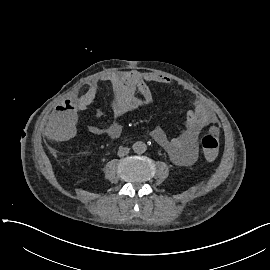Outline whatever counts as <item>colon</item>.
<instances>
[{
    "label": "colon",
    "instance_id": "5ec220e1",
    "mask_svg": "<svg viewBox=\"0 0 270 270\" xmlns=\"http://www.w3.org/2000/svg\"><path fill=\"white\" fill-rule=\"evenodd\" d=\"M200 146L206 157L213 158L217 154L219 148L217 135L215 133L204 134L200 139Z\"/></svg>",
    "mask_w": 270,
    "mask_h": 270
}]
</instances>
